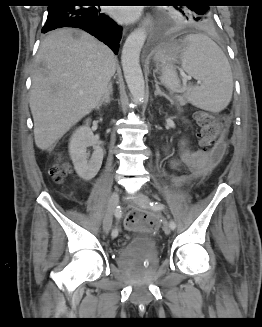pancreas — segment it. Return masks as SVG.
<instances>
[{
    "label": "pancreas",
    "mask_w": 262,
    "mask_h": 327,
    "mask_svg": "<svg viewBox=\"0 0 262 327\" xmlns=\"http://www.w3.org/2000/svg\"><path fill=\"white\" fill-rule=\"evenodd\" d=\"M174 99L176 100V102H177V104H178L179 106H183V105L186 104V100H185V98H184L183 96L176 95V96L174 97Z\"/></svg>",
    "instance_id": "1"
}]
</instances>
